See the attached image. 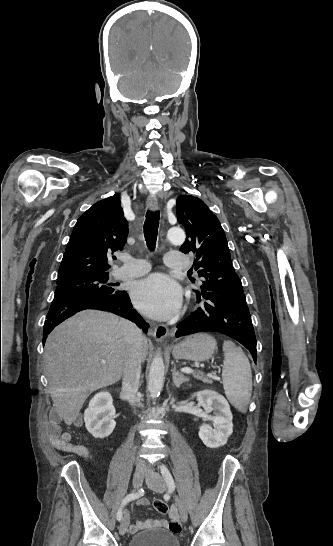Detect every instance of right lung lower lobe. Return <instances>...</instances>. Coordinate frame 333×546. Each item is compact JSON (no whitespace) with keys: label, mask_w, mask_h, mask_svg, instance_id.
Instances as JSON below:
<instances>
[{"label":"right lung lower lobe","mask_w":333,"mask_h":546,"mask_svg":"<svg viewBox=\"0 0 333 546\" xmlns=\"http://www.w3.org/2000/svg\"><path fill=\"white\" fill-rule=\"evenodd\" d=\"M126 291L118 290L112 295L105 294H75L55 297L44 323L43 342L47 335L61 322L76 312L86 309H97L112 312L135 322L146 333L149 324L132 308Z\"/></svg>","instance_id":"98d812e1"}]
</instances>
